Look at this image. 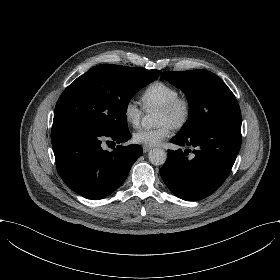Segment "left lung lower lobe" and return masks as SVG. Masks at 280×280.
<instances>
[{
	"label": "left lung lower lobe",
	"instance_id": "0a47b994",
	"mask_svg": "<svg viewBox=\"0 0 280 280\" xmlns=\"http://www.w3.org/2000/svg\"><path fill=\"white\" fill-rule=\"evenodd\" d=\"M172 143L193 146L195 156L181 149L168 150L160 175L181 199L197 201L214 193L228 177L241 146V120L210 125L189 135H176Z\"/></svg>",
	"mask_w": 280,
	"mask_h": 280
}]
</instances>
